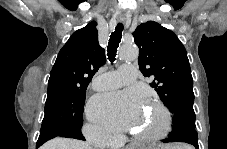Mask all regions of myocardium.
Here are the masks:
<instances>
[{"label": "myocardium", "instance_id": "obj_1", "mask_svg": "<svg viewBox=\"0 0 227 149\" xmlns=\"http://www.w3.org/2000/svg\"><path fill=\"white\" fill-rule=\"evenodd\" d=\"M149 103L154 106L162 115V125L156 131L149 134H134L135 140L142 143L157 142L168 135L172 128V116L169 109L160 101L150 100Z\"/></svg>", "mask_w": 227, "mask_h": 149}]
</instances>
